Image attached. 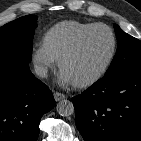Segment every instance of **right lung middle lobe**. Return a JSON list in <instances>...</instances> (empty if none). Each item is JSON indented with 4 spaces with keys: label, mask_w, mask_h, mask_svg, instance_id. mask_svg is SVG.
<instances>
[{
    "label": "right lung middle lobe",
    "mask_w": 141,
    "mask_h": 141,
    "mask_svg": "<svg viewBox=\"0 0 141 141\" xmlns=\"http://www.w3.org/2000/svg\"><path fill=\"white\" fill-rule=\"evenodd\" d=\"M37 16L20 17L0 27V64L29 63Z\"/></svg>",
    "instance_id": "dd1d6c3e"
}]
</instances>
